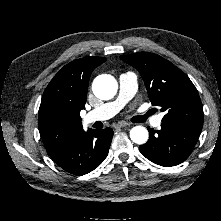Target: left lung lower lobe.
I'll use <instances>...</instances> for the list:
<instances>
[{
	"label": "left lung lower lobe",
	"instance_id": "obj_1",
	"mask_svg": "<svg viewBox=\"0 0 221 221\" xmlns=\"http://www.w3.org/2000/svg\"><path fill=\"white\" fill-rule=\"evenodd\" d=\"M201 130L202 126L181 123H162L159 131L148 127L150 139L139 149L153 163L174 166L190 155Z\"/></svg>",
	"mask_w": 221,
	"mask_h": 221
}]
</instances>
